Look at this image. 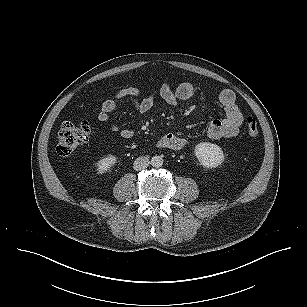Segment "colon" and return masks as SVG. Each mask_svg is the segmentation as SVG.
<instances>
[{
    "label": "colon",
    "mask_w": 307,
    "mask_h": 307,
    "mask_svg": "<svg viewBox=\"0 0 307 307\" xmlns=\"http://www.w3.org/2000/svg\"><path fill=\"white\" fill-rule=\"evenodd\" d=\"M245 128L250 137H256L259 133L258 122L253 116L246 117ZM90 132V124L87 121L65 122L58 132V153L60 155L70 154L88 140Z\"/></svg>",
    "instance_id": "1"
}]
</instances>
